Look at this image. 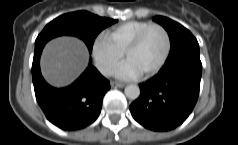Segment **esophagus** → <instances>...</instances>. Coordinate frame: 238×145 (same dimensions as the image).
I'll return each mask as SVG.
<instances>
[{
  "mask_svg": "<svg viewBox=\"0 0 238 145\" xmlns=\"http://www.w3.org/2000/svg\"><path fill=\"white\" fill-rule=\"evenodd\" d=\"M125 84L123 83H118V82H111V87L113 88H123Z\"/></svg>",
  "mask_w": 238,
  "mask_h": 145,
  "instance_id": "esophagus-1",
  "label": "esophagus"
}]
</instances>
